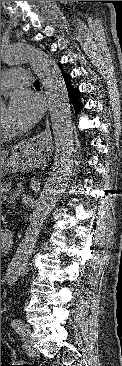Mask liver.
I'll return each mask as SVG.
<instances>
[{
  "mask_svg": "<svg viewBox=\"0 0 122 366\" xmlns=\"http://www.w3.org/2000/svg\"><path fill=\"white\" fill-rule=\"evenodd\" d=\"M7 156L8 152L1 150V167L4 166Z\"/></svg>",
  "mask_w": 122,
  "mask_h": 366,
  "instance_id": "liver-1",
  "label": "liver"
}]
</instances>
